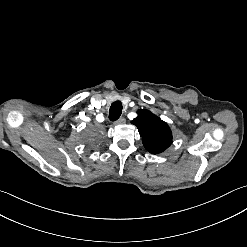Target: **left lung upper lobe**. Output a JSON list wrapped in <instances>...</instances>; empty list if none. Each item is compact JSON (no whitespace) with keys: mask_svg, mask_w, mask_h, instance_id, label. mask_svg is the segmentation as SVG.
Here are the masks:
<instances>
[{"mask_svg":"<svg viewBox=\"0 0 247 247\" xmlns=\"http://www.w3.org/2000/svg\"><path fill=\"white\" fill-rule=\"evenodd\" d=\"M142 137L143 145L152 154H158L172 143L169 126L148 110H139L138 117L132 120Z\"/></svg>","mask_w":247,"mask_h":247,"instance_id":"obj_1","label":"left lung upper lobe"}]
</instances>
